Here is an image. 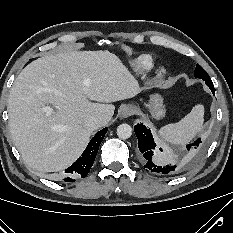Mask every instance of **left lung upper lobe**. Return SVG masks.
<instances>
[{"mask_svg": "<svg viewBox=\"0 0 233 233\" xmlns=\"http://www.w3.org/2000/svg\"><path fill=\"white\" fill-rule=\"evenodd\" d=\"M195 77L203 79L205 77H209V75L206 73V71L199 64H197L196 68H195Z\"/></svg>", "mask_w": 233, "mask_h": 233, "instance_id": "1", "label": "left lung upper lobe"}]
</instances>
